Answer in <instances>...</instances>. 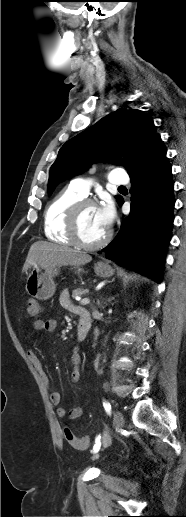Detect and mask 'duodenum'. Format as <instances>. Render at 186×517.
<instances>
[{"mask_svg":"<svg viewBox=\"0 0 186 517\" xmlns=\"http://www.w3.org/2000/svg\"><path fill=\"white\" fill-rule=\"evenodd\" d=\"M92 326V318L90 313L81 309L79 312V321H78V330H77V339L82 341L87 336L90 328Z\"/></svg>","mask_w":186,"mask_h":517,"instance_id":"1","label":"duodenum"}]
</instances>
